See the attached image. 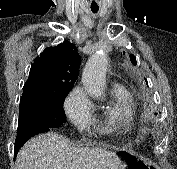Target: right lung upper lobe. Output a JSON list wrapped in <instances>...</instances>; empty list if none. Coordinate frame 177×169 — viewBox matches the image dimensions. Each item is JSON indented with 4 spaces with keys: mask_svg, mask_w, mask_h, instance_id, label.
<instances>
[{
    "mask_svg": "<svg viewBox=\"0 0 177 169\" xmlns=\"http://www.w3.org/2000/svg\"><path fill=\"white\" fill-rule=\"evenodd\" d=\"M80 62L76 46L68 41L46 48L30 69L21 100L53 101L68 94L78 78Z\"/></svg>",
    "mask_w": 177,
    "mask_h": 169,
    "instance_id": "right-lung-upper-lobe-1",
    "label": "right lung upper lobe"
}]
</instances>
